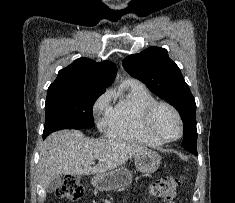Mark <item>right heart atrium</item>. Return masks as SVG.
Listing matches in <instances>:
<instances>
[{
	"label": "right heart atrium",
	"instance_id": "right-heart-atrium-1",
	"mask_svg": "<svg viewBox=\"0 0 235 203\" xmlns=\"http://www.w3.org/2000/svg\"><path fill=\"white\" fill-rule=\"evenodd\" d=\"M109 102L110 92L106 91L97 98L93 105V113L101 127L105 125V120L110 110Z\"/></svg>",
	"mask_w": 235,
	"mask_h": 203
}]
</instances>
